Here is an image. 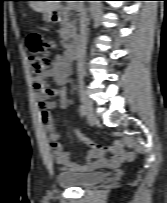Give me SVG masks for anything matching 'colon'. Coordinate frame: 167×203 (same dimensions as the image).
<instances>
[{"label": "colon", "instance_id": "obj_1", "mask_svg": "<svg viewBox=\"0 0 167 203\" xmlns=\"http://www.w3.org/2000/svg\"><path fill=\"white\" fill-rule=\"evenodd\" d=\"M28 58L32 72L42 74L51 67L48 51L54 47L50 41L43 40L37 34H31L26 41ZM126 157L131 158V153H126Z\"/></svg>", "mask_w": 167, "mask_h": 203}]
</instances>
